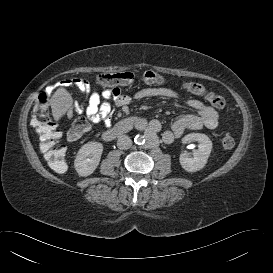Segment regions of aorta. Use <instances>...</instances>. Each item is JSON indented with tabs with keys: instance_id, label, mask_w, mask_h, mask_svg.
<instances>
[{
	"instance_id": "762f6f07",
	"label": "aorta",
	"mask_w": 273,
	"mask_h": 273,
	"mask_svg": "<svg viewBox=\"0 0 273 273\" xmlns=\"http://www.w3.org/2000/svg\"><path fill=\"white\" fill-rule=\"evenodd\" d=\"M134 141L136 144L138 145H142L145 143V139L142 135H137L135 138H134Z\"/></svg>"
}]
</instances>
